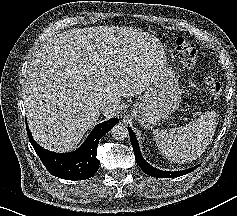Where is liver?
<instances>
[{
  "mask_svg": "<svg viewBox=\"0 0 237 216\" xmlns=\"http://www.w3.org/2000/svg\"><path fill=\"white\" fill-rule=\"evenodd\" d=\"M115 29H71L51 37L33 59L25 76V108L35 140L43 147H76L98 122V102L118 103L147 89L145 67L123 64Z\"/></svg>",
  "mask_w": 237,
  "mask_h": 216,
  "instance_id": "1",
  "label": "liver"
}]
</instances>
